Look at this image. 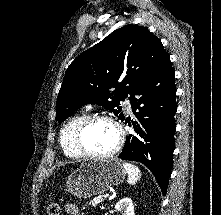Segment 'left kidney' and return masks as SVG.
<instances>
[{
  "label": "left kidney",
  "instance_id": "1",
  "mask_svg": "<svg viewBox=\"0 0 221 215\" xmlns=\"http://www.w3.org/2000/svg\"><path fill=\"white\" fill-rule=\"evenodd\" d=\"M115 209L117 211L123 212V215H134V205L130 198L121 199L116 205Z\"/></svg>",
  "mask_w": 221,
  "mask_h": 215
}]
</instances>
